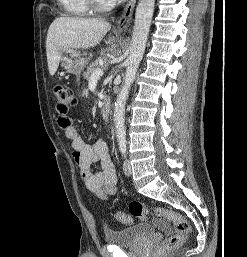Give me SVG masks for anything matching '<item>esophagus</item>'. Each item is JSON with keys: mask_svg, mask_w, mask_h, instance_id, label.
Instances as JSON below:
<instances>
[{"mask_svg": "<svg viewBox=\"0 0 247 257\" xmlns=\"http://www.w3.org/2000/svg\"><path fill=\"white\" fill-rule=\"evenodd\" d=\"M137 0H129L117 22L116 31L124 32L131 24L134 8Z\"/></svg>", "mask_w": 247, "mask_h": 257, "instance_id": "obj_1", "label": "esophagus"}]
</instances>
